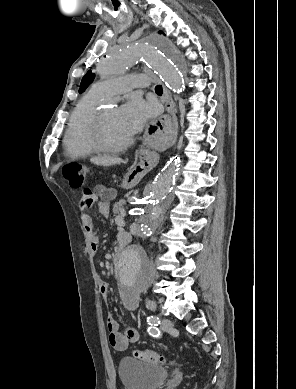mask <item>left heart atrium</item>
Instances as JSON below:
<instances>
[{"instance_id":"left-heart-atrium-1","label":"left heart atrium","mask_w":296,"mask_h":389,"mask_svg":"<svg viewBox=\"0 0 296 389\" xmlns=\"http://www.w3.org/2000/svg\"><path fill=\"white\" fill-rule=\"evenodd\" d=\"M153 115V106L139 97H132L118 110L119 121L129 136L138 133Z\"/></svg>"}]
</instances>
